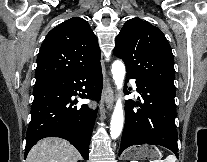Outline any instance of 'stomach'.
I'll list each match as a JSON object with an SVG mask.
<instances>
[{
    "mask_svg": "<svg viewBox=\"0 0 207 162\" xmlns=\"http://www.w3.org/2000/svg\"><path fill=\"white\" fill-rule=\"evenodd\" d=\"M161 157L159 149L153 145L143 144L126 151L124 159L156 160Z\"/></svg>",
    "mask_w": 207,
    "mask_h": 162,
    "instance_id": "1",
    "label": "stomach"
}]
</instances>
